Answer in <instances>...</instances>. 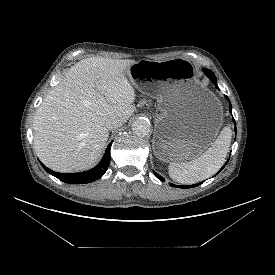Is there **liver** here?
<instances>
[{
  "label": "liver",
  "mask_w": 275,
  "mask_h": 275,
  "mask_svg": "<svg viewBox=\"0 0 275 275\" xmlns=\"http://www.w3.org/2000/svg\"><path fill=\"white\" fill-rule=\"evenodd\" d=\"M136 61L91 57L76 63L54 87L34 117V149L57 172L81 171L100 158L109 137L106 121H127L135 90L126 77Z\"/></svg>",
  "instance_id": "1"
}]
</instances>
